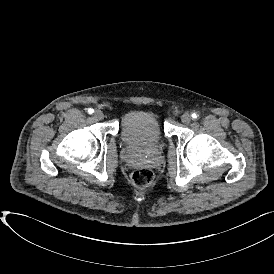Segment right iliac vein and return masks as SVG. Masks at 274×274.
I'll use <instances>...</instances> for the list:
<instances>
[{"label": "right iliac vein", "instance_id": "63e3f726", "mask_svg": "<svg viewBox=\"0 0 274 274\" xmlns=\"http://www.w3.org/2000/svg\"><path fill=\"white\" fill-rule=\"evenodd\" d=\"M93 116L96 120H102L104 118V114L101 110H96Z\"/></svg>", "mask_w": 274, "mask_h": 274}]
</instances>
